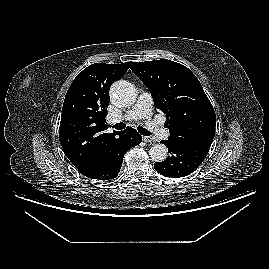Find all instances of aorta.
<instances>
[{"label":"aorta","mask_w":269,"mask_h":269,"mask_svg":"<svg viewBox=\"0 0 269 269\" xmlns=\"http://www.w3.org/2000/svg\"><path fill=\"white\" fill-rule=\"evenodd\" d=\"M110 99L116 106H130L136 100L135 88L131 83L125 80L116 81L111 86ZM167 154L168 148L161 143L154 144L149 150V155L155 162L164 161L167 158Z\"/></svg>","instance_id":"obj_1"}]
</instances>
